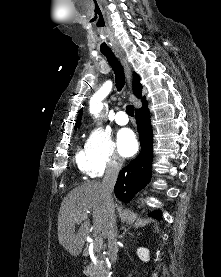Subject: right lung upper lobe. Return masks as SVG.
<instances>
[{"label": "right lung upper lobe", "mask_w": 221, "mask_h": 277, "mask_svg": "<svg viewBox=\"0 0 221 277\" xmlns=\"http://www.w3.org/2000/svg\"><path fill=\"white\" fill-rule=\"evenodd\" d=\"M133 92L138 97H142V85L140 84V78L139 75L136 73H133ZM145 101V97H143L142 102ZM81 116H82V110L79 111L78 121L76 122L75 129L79 128L81 125Z\"/></svg>", "instance_id": "right-lung-upper-lobe-1"}]
</instances>
